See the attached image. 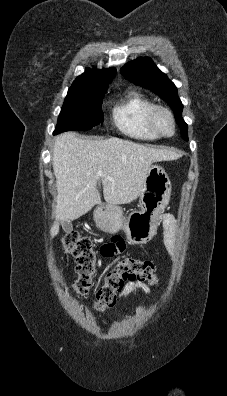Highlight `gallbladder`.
I'll list each match as a JSON object with an SVG mask.
<instances>
[{
	"mask_svg": "<svg viewBox=\"0 0 227 396\" xmlns=\"http://www.w3.org/2000/svg\"><path fill=\"white\" fill-rule=\"evenodd\" d=\"M61 225L65 232H70L73 229L70 221H62Z\"/></svg>",
	"mask_w": 227,
	"mask_h": 396,
	"instance_id": "bac80fb5",
	"label": "gallbladder"
}]
</instances>
